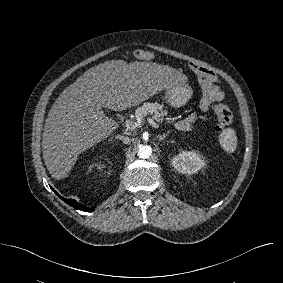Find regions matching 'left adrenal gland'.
I'll use <instances>...</instances> for the list:
<instances>
[{
    "instance_id": "left-adrenal-gland-1",
    "label": "left adrenal gland",
    "mask_w": 283,
    "mask_h": 283,
    "mask_svg": "<svg viewBox=\"0 0 283 283\" xmlns=\"http://www.w3.org/2000/svg\"><path fill=\"white\" fill-rule=\"evenodd\" d=\"M168 134H169V131L166 132V133H164V134H162V135L157 136V139H158L159 141H162V140H164V139L166 138V136H167Z\"/></svg>"
}]
</instances>
